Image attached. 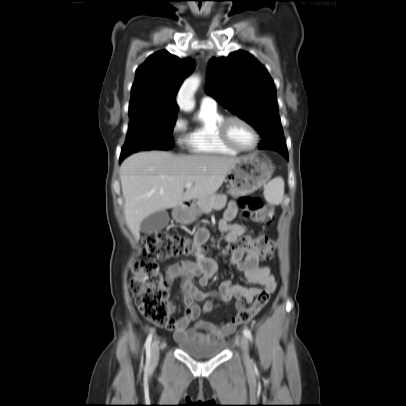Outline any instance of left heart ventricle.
I'll return each instance as SVG.
<instances>
[{
	"instance_id": "left-heart-ventricle-1",
	"label": "left heart ventricle",
	"mask_w": 406,
	"mask_h": 406,
	"mask_svg": "<svg viewBox=\"0 0 406 406\" xmlns=\"http://www.w3.org/2000/svg\"><path fill=\"white\" fill-rule=\"evenodd\" d=\"M228 133L231 140L239 147L249 148L255 142L252 131L238 121H233L229 124Z\"/></svg>"
}]
</instances>
